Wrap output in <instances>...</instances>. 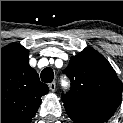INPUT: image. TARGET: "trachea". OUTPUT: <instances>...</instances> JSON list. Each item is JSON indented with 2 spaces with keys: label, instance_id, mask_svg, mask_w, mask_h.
<instances>
[{
  "label": "trachea",
  "instance_id": "trachea-1",
  "mask_svg": "<svg viewBox=\"0 0 123 123\" xmlns=\"http://www.w3.org/2000/svg\"><path fill=\"white\" fill-rule=\"evenodd\" d=\"M41 80L45 83H50L52 82L53 78H54V72L51 68H45L42 72H41Z\"/></svg>",
  "mask_w": 123,
  "mask_h": 123
}]
</instances>
